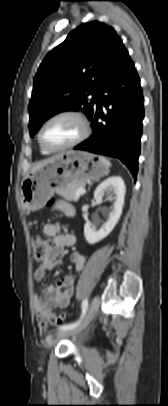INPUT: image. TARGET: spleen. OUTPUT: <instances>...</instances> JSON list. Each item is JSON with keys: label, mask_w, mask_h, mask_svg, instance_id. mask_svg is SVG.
Segmentation results:
<instances>
[{"label": "spleen", "mask_w": 168, "mask_h": 406, "mask_svg": "<svg viewBox=\"0 0 168 406\" xmlns=\"http://www.w3.org/2000/svg\"><path fill=\"white\" fill-rule=\"evenodd\" d=\"M101 159H102V161H103L104 163H106L108 166L111 165V163H110L106 158L101 157Z\"/></svg>", "instance_id": "obj_1"}]
</instances>
